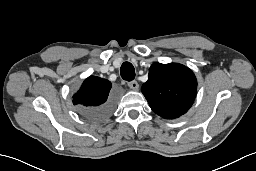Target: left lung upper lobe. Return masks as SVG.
<instances>
[{"label": "left lung upper lobe", "mask_w": 256, "mask_h": 171, "mask_svg": "<svg viewBox=\"0 0 256 171\" xmlns=\"http://www.w3.org/2000/svg\"><path fill=\"white\" fill-rule=\"evenodd\" d=\"M141 91L156 114L174 119L185 114L194 102L197 80L192 70L182 64L154 63Z\"/></svg>", "instance_id": "1"}]
</instances>
